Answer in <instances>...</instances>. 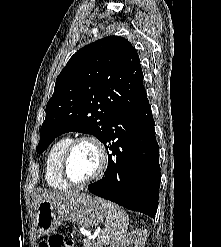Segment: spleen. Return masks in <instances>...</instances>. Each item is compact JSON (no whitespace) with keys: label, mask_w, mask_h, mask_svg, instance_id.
I'll use <instances>...</instances> for the list:
<instances>
[{"label":"spleen","mask_w":221,"mask_h":247,"mask_svg":"<svg viewBox=\"0 0 221 247\" xmlns=\"http://www.w3.org/2000/svg\"><path fill=\"white\" fill-rule=\"evenodd\" d=\"M105 208V229L98 236V243L102 245H112L118 243L126 236L128 229V215L116 204L107 202ZM111 247V246H110Z\"/></svg>","instance_id":"3e777b00"}]
</instances>
